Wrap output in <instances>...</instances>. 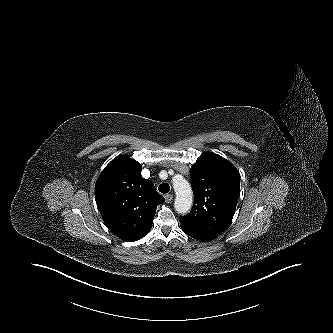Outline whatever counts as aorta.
<instances>
[{"mask_svg": "<svg viewBox=\"0 0 333 333\" xmlns=\"http://www.w3.org/2000/svg\"><path fill=\"white\" fill-rule=\"evenodd\" d=\"M173 187L176 193L174 208L177 213H187L193 203V194L190 184L183 178L174 181Z\"/></svg>", "mask_w": 333, "mask_h": 333, "instance_id": "aorta-1", "label": "aorta"}]
</instances>
